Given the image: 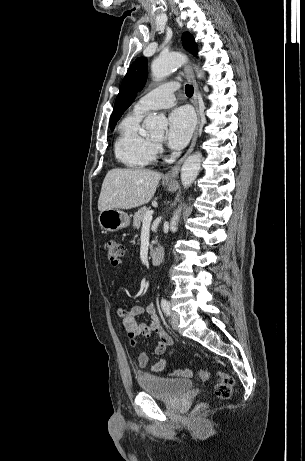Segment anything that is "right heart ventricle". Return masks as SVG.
Wrapping results in <instances>:
<instances>
[{
  "label": "right heart ventricle",
  "instance_id": "right-heart-ventricle-1",
  "mask_svg": "<svg viewBox=\"0 0 305 461\" xmlns=\"http://www.w3.org/2000/svg\"><path fill=\"white\" fill-rule=\"evenodd\" d=\"M143 115L133 110L119 124L115 155L129 168H143L155 160L157 147L144 132L141 124Z\"/></svg>",
  "mask_w": 305,
  "mask_h": 461
}]
</instances>
